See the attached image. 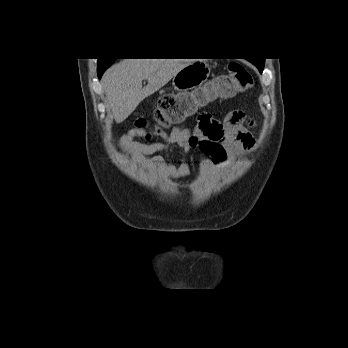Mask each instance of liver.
Masks as SVG:
<instances>
[{"label": "liver", "instance_id": "obj_1", "mask_svg": "<svg viewBox=\"0 0 348 348\" xmlns=\"http://www.w3.org/2000/svg\"><path fill=\"white\" fill-rule=\"evenodd\" d=\"M194 62L184 59H123L102 77V86L116 123L123 122L141 101L166 85ZM147 85L142 87V81Z\"/></svg>", "mask_w": 348, "mask_h": 348}]
</instances>
